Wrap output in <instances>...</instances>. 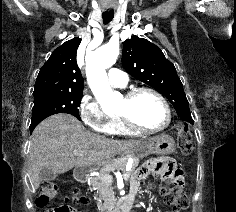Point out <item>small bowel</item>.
Returning a JSON list of instances; mask_svg holds the SVG:
<instances>
[{
    "label": "small bowel",
    "instance_id": "obj_1",
    "mask_svg": "<svg viewBox=\"0 0 236 212\" xmlns=\"http://www.w3.org/2000/svg\"><path fill=\"white\" fill-rule=\"evenodd\" d=\"M155 166L156 168V172L158 174H160L161 176H166V175H170L172 173H176V176H178L181 179V176L179 175V173L173 168V164L170 158L168 157H163V158H155L153 160H151L148 163V166ZM144 174V172L141 173V175ZM140 175V176H141ZM131 189H138V183L135 182L132 184Z\"/></svg>",
    "mask_w": 236,
    "mask_h": 212
}]
</instances>
